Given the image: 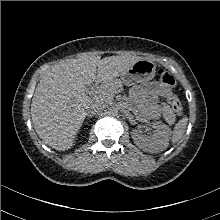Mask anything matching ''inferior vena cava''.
I'll return each instance as SVG.
<instances>
[{
	"label": "inferior vena cava",
	"mask_w": 220,
	"mask_h": 220,
	"mask_svg": "<svg viewBox=\"0 0 220 220\" xmlns=\"http://www.w3.org/2000/svg\"><path fill=\"white\" fill-rule=\"evenodd\" d=\"M104 109V105L101 103H94L88 110V116L92 117L100 113Z\"/></svg>",
	"instance_id": "1"
}]
</instances>
